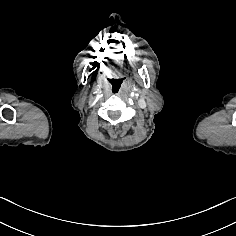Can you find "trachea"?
I'll return each instance as SVG.
<instances>
[{
  "mask_svg": "<svg viewBox=\"0 0 236 236\" xmlns=\"http://www.w3.org/2000/svg\"><path fill=\"white\" fill-rule=\"evenodd\" d=\"M111 92H112L114 95H119V94L122 92V87H121L119 84H114V85L111 87Z\"/></svg>",
  "mask_w": 236,
  "mask_h": 236,
  "instance_id": "trachea-1",
  "label": "trachea"
}]
</instances>
